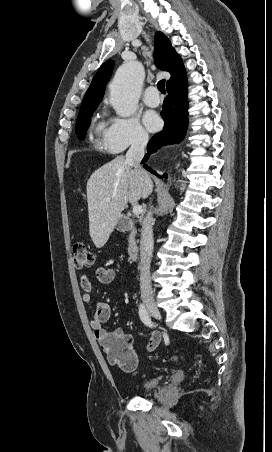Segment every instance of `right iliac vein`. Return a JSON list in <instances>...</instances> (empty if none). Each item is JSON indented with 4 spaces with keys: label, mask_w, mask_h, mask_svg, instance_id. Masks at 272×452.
I'll list each match as a JSON object with an SVG mask.
<instances>
[{
    "label": "right iliac vein",
    "mask_w": 272,
    "mask_h": 452,
    "mask_svg": "<svg viewBox=\"0 0 272 452\" xmlns=\"http://www.w3.org/2000/svg\"><path fill=\"white\" fill-rule=\"evenodd\" d=\"M144 304L154 318L158 320L162 319L161 313L153 301H145Z\"/></svg>",
    "instance_id": "1"
}]
</instances>
